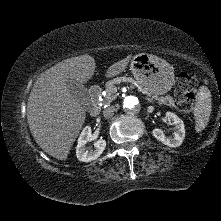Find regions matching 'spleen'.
<instances>
[{
    "label": "spleen",
    "instance_id": "1",
    "mask_svg": "<svg viewBox=\"0 0 221 221\" xmlns=\"http://www.w3.org/2000/svg\"><path fill=\"white\" fill-rule=\"evenodd\" d=\"M211 113V95L206 86H201L196 96L194 109L195 130L201 132L207 125Z\"/></svg>",
    "mask_w": 221,
    "mask_h": 221
}]
</instances>
